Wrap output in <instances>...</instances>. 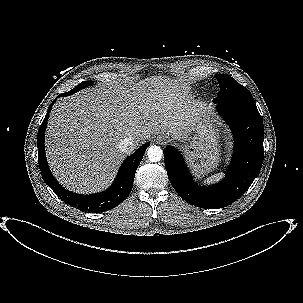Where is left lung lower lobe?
Masks as SVG:
<instances>
[{
    "instance_id": "left-lung-lower-lobe-1",
    "label": "left lung lower lobe",
    "mask_w": 303,
    "mask_h": 303,
    "mask_svg": "<svg viewBox=\"0 0 303 303\" xmlns=\"http://www.w3.org/2000/svg\"><path fill=\"white\" fill-rule=\"evenodd\" d=\"M217 104L235 141L232 161L222 182L200 187L192 180L180 152L170 146L163 150L166 171L177 193L188 203L208 209L224 207L238 199L259 174L264 158L263 121L255 102L226 100Z\"/></svg>"
}]
</instances>
